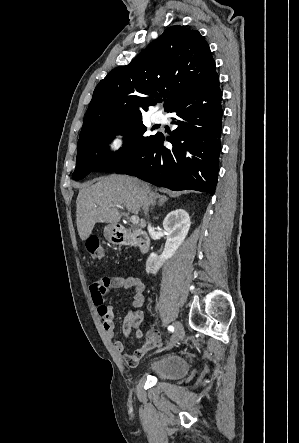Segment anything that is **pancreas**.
Here are the masks:
<instances>
[{
	"instance_id": "1",
	"label": "pancreas",
	"mask_w": 299,
	"mask_h": 443,
	"mask_svg": "<svg viewBox=\"0 0 299 443\" xmlns=\"http://www.w3.org/2000/svg\"><path fill=\"white\" fill-rule=\"evenodd\" d=\"M131 237H132V242H133L135 245H137V244H138V241H137V239H136L135 234H133Z\"/></svg>"
}]
</instances>
